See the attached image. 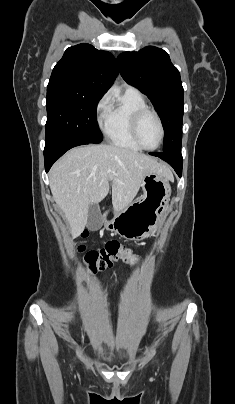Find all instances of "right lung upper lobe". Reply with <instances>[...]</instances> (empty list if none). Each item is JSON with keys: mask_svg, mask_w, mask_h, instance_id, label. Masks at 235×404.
I'll return each instance as SVG.
<instances>
[{"mask_svg": "<svg viewBox=\"0 0 235 404\" xmlns=\"http://www.w3.org/2000/svg\"><path fill=\"white\" fill-rule=\"evenodd\" d=\"M118 74L114 56L83 43L66 49L55 65L47 89L61 88L102 97Z\"/></svg>", "mask_w": 235, "mask_h": 404, "instance_id": "1", "label": "right lung upper lobe"}]
</instances>
